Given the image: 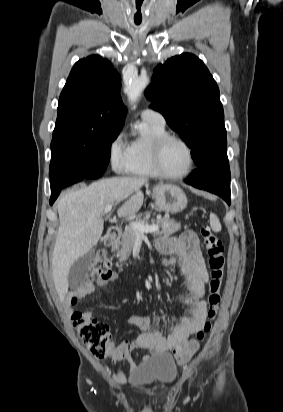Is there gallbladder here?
I'll return each mask as SVG.
<instances>
[{
  "instance_id": "gallbladder-1",
  "label": "gallbladder",
  "mask_w": 283,
  "mask_h": 412,
  "mask_svg": "<svg viewBox=\"0 0 283 412\" xmlns=\"http://www.w3.org/2000/svg\"><path fill=\"white\" fill-rule=\"evenodd\" d=\"M94 255V250H90L73 263L68 275V285L70 288H77L85 281Z\"/></svg>"
}]
</instances>
